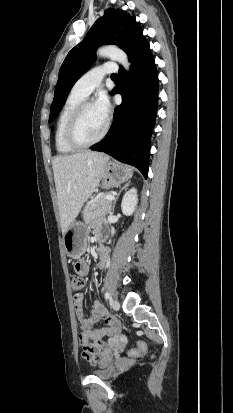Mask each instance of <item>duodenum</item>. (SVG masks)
Wrapping results in <instances>:
<instances>
[{
    "label": "duodenum",
    "instance_id": "obj_1",
    "mask_svg": "<svg viewBox=\"0 0 233 413\" xmlns=\"http://www.w3.org/2000/svg\"><path fill=\"white\" fill-rule=\"evenodd\" d=\"M100 241H102V237H100ZM102 245H99V247H101ZM104 261H105V259H104V256L101 254L100 255V265L101 266H104Z\"/></svg>",
    "mask_w": 233,
    "mask_h": 413
}]
</instances>
